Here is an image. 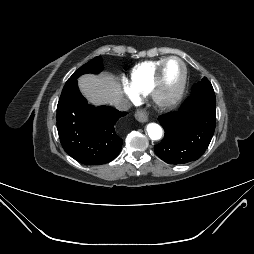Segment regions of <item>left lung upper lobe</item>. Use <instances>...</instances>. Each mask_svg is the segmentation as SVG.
Returning <instances> with one entry per match:
<instances>
[{
  "label": "left lung upper lobe",
  "instance_id": "5c2ea615",
  "mask_svg": "<svg viewBox=\"0 0 254 254\" xmlns=\"http://www.w3.org/2000/svg\"><path fill=\"white\" fill-rule=\"evenodd\" d=\"M192 95H205L215 97V93L210 81L204 78L192 87Z\"/></svg>",
  "mask_w": 254,
  "mask_h": 254
}]
</instances>
